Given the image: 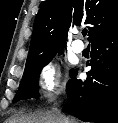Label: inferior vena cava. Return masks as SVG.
<instances>
[{
  "label": "inferior vena cava",
  "mask_w": 118,
  "mask_h": 123,
  "mask_svg": "<svg viewBox=\"0 0 118 123\" xmlns=\"http://www.w3.org/2000/svg\"><path fill=\"white\" fill-rule=\"evenodd\" d=\"M63 119H64V123H69L68 119L65 116H63Z\"/></svg>",
  "instance_id": "obj_1"
}]
</instances>
